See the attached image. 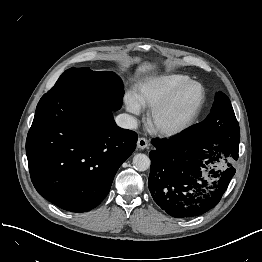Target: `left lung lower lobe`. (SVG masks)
<instances>
[{"instance_id": "1", "label": "left lung lower lobe", "mask_w": 262, "mask_h": 262, "mask_svg": "<svg viewBox=\"0 0 262 262\" xmlns=\"http://www.w3.org/2000/svg\"><path fill=\"white\" fill-rule=\"evenodd\" d=\"M240 132L208 137L183 133L153 139L148 186L154 201L175 218H192L214 208L235 174Z\"/></svg>"}]
</instances>
